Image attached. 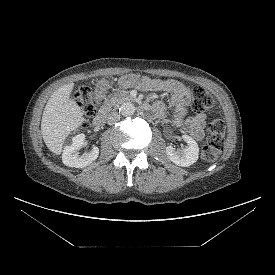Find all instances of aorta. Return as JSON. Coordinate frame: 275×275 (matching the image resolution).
I'll return each instance as SVG.
<instances>
[{"label": "aorta", "mask_w": 275, "mask_h": 275, "mask_svg": "<svg viewBox=\"0 0 275 275\" xmlns=\"http://www.w3.org/2000/svg\"><path fill=\"white\" fill-rule=\"evenodd\" d=\"M135 110V106L131 102H124L119 108L121 115L124 117L134 115Z\"/></svg>", "instance_id": "762f6f07"}]
</instances>
